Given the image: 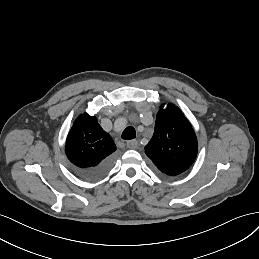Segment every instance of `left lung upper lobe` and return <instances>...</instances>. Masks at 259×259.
<instances>
[{"label": "left lung upper lobe", "mask_w": 259, "mask_h": 259, "mask_svg": "<svg viewBox=\"0 0 259 259\" xmlns=\"http://www.w3.org/2000/svg\"><path fill=\"white\" fill-rule=\"evenodd\" d=\"M157 113L152 139L145 146L146 155L156 170L167 176H177L193 164L198 151L195 132L182 111L168 104Z\"/></svg>", "instance_id": "obj_1"}]
</instances>
